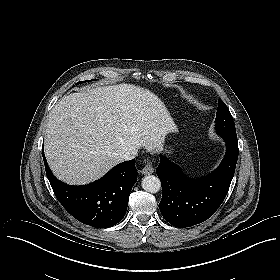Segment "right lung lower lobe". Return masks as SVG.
<instances>
[{
  "label": "right lung lower lobe",
  "mask_w": 280,
  "mask_h": 280,
  "mask_svg": "<svg viewBox=\"0 0 280 280\" xmlns=\"http://www.w3.org/2000/svg\"><path fill=\"white\" fill-rule=\"evenodd\" d=\"M47 178L61 205L84 224L108 228L126 214L130 191L137 181L135 159L116 165L99 180L83 186L55 178L43 154Z\"/></svg>",
  "instance_id": "obj_1"
}]
</instances>
